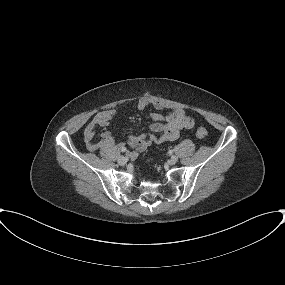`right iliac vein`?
<instances>
[{
	"instance_id": "right-iliac-vein-1",
	"label": "right iliac vein",
	"mask_w": 285,
	"mask_h": 285,
	"mask_svg": "<svg viewBox=\"0 0 285 285\" xmlns=\"http://www.w3.org/2000/svg\"><path fill=\"white\" fill-rule=\"evenodd\" d=\"M127 160H128L127 157H125V156H120V157L118 158V163H119L120 165H124V164H126Z\"/></svg>"
}]
</instances>
